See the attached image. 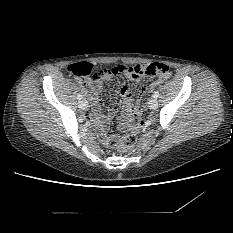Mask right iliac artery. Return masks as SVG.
<instances>
[{
	"mask_svg": "<svg viewBox=\"0 0 233 233\" xmlns=\"http://www.w3.org/2000/svg\"><path fill=\"white\" fill-rule=\"evenodd\" d=\"M77 99H78V100H81V99H82V95H81V94H78V95H77Z\"/></svg>",
	"mask_w": 233,
	"mask_h": 233,
	"instance_id": "right-iliac-artery-1",
	"label": "right iliac artery"
}]
</instances>
